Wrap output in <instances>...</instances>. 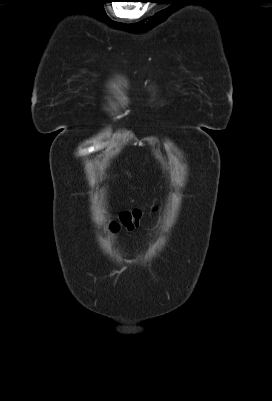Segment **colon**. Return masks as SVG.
I'll return each mask as SVG.
<instances>
[{
  "instance_id": "obj_1",
  "label": "colon",
  "mask_w": 272,
  "mask_h": 401,
  "mask_svg": "<svg viewBox=\"0 0 272 401\" xmlns=\"http://www.w3.org/2000/svg\"><path fill=\"white\" fill-rule=\"evenodd\" d=\"M142 212L139 210L126 211L119 215L117 220H114L110 224L112 230H118L119 228H125L128 230L134 229L138 226Z\"/></svg>"
}]
</instances>
